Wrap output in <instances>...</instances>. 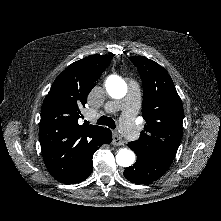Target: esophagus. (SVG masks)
Here are the masks:
<instances>
[{"label":"esophagus","instance_id":"esophagus-1","mask_svg":"<svg viewBox=\"0 0 221 221\" xmlns=\"http://www.w3.org/2000/svg\"><path fill=\"white\" fill-rule=\"evenodd\" d=\"M112 144L116 146L123 144V139L117 131H113Z\"/></svg>","mask_w":221,"mask_h":221}]
</instances>
